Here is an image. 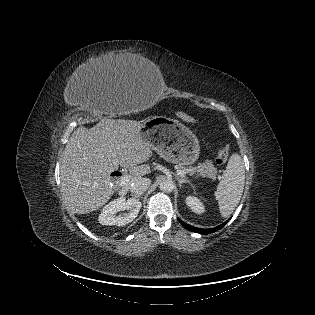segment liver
<instances>
[{
  "label": "liver",
  "instance_id": "liver-1",
  "mask_svg": "<svg viewBox=\"0 0 315 315\" xmlns=\"http://www.w3.org/2000/svg\"><path fill=\"white\" fill-rule=\"evenodd\" d=\"M141 128L140 121L103 118L90 129L80 126L72 133L60 166L62 194L72 212L87 214L105 205L114 192L110 174L119 166L130 173V182L119 191L122 196L134 180L150 173L149 166L140 165L153 150Z\"/></svg>",
  "mask_w": 315,
  "mask_h": 315
}]
</instances>
